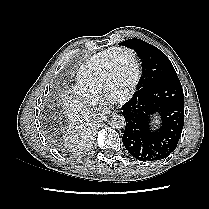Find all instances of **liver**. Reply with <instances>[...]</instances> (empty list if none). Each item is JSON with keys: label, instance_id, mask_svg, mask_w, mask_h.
<instances>
[{"label": "liver", "instance_id": "6515ba94", "mask_svg": "<svg viewBox=\"0 0 209 209\" xmlns=\"http://www.w3.org/2000/svg\"><path fill=\"white\" fill-rule=\"evenodd\" d=\"M63 109L69 120V143L71 146L83 145L93 129V122L83 104L65 94L62 98Z\"/></svg>", "mask_w": 209, "mask_h": 209}]
</instances>
